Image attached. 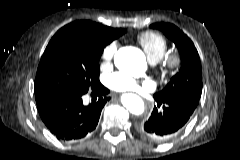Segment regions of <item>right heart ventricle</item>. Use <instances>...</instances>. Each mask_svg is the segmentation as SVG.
<instances>
[{
  "instance_id": "right-heart-ventricle-1",
  "label": "right heart ventricle",
  "mask_w": 240,
  "mask_h": 160,
  "mask_svg": "<svg viewBox=\"0 0 240 160\" xmlns=\"http://www.w3.org/2000/svg\"><path fill=\"white\" fill-rule=\"evenodd\" d=\"M137 40L151 62L161 60L168 50L166 38L155 31H145L138 35Z\"/></svg>"
}]
</instances>
